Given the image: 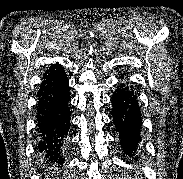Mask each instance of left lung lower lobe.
Instances as JSON below:
<instances>
[{
  "label": "left lung lower lobe",
  "instance_id": "left-lung-lower-lobe-1",
  "mask_svg": "<svg viewBox=\"0 0 183 179\" xmlns=\"http://www.w3.org/2000/svg\"><path fill=\"white\" fill-rule=\"evenodd\" d=\"M121 77L123 78L124 74ZM111 99L113 122L120 137L121 148L124 154L131 157L135 154L141 140L142 124L135 91L131 86L122 84L115 90Z\"/></svg>",
  "mask_w": 183,
  "mask_h": 179
}]
</instances>
